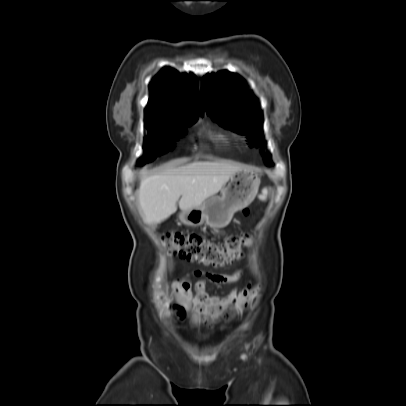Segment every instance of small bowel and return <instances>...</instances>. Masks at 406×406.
I'll return each instance as SVG.
<instances>
[{
  "label": "small bowel",
  "instance_id": "small-bowel-1",
  "mask_svg": "<svg viewBox=\"0 0 406 406\" xmlns=\"http://www.w3.org/2000/svg\"><path fill=\"white\" fill-rule=\"evenodd\" d=\"M193 275L203 276V279L195 284L194 292L191 289L189 278L186 277L174 281L169 287V293L175 303L177 316L180 319L189 316L194 326L203 323L215 324L225 317H234L256 289L255 286L248 285L239 296L235 290L224 297L211 296L205 291L207 281L233 284L241 278L242 271L237 270L232 274H217L197 270L193 272Z\"/></svg>",
  "mask_w": 406,
  "mask_h": 406
}]
</instances>
